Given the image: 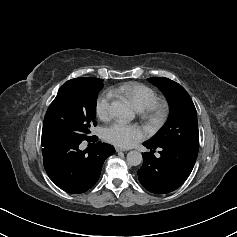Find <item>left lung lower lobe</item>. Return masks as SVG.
Wrapping results in <instances>:
<instances>
[{"label":"left lung lower lobe","instance_id":"left-lung-lower-lobe-1","mask_svg":"<svg viewBox=\"0 0 237 237\" xmlns=\"http://www.w3.org/2000/svg\"><path fill=\"white\" fill-rule=\"evenodd\" d=\"M143 145L150 152L143 153V165L138 170L140 183L150 192L166 194L180 187L190 175L198 154V146L171 145L156 147ZM160 148L161 156L153 153Z\"/></svg>","mask_w":237,"mask_h":237}]
</instances>
